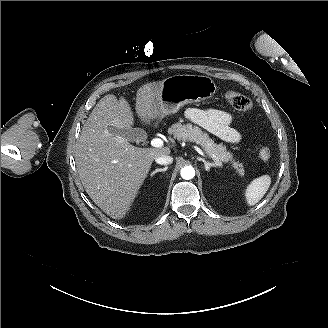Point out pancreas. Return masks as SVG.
<instances>
[{
	"label": "pancreas",
	"mask_w": 328,
	"mask_h": 328,
	"mask_svg": "<svg viewBox=\"0 0 328 328\" xmlns=\"http://www.w3.org/2000/svg\"><path fill=\"white\" fill-rule=\"evenodd\" d=\"M169 134L174 135L178 141H189L199 144L205 153L213 158L216 167L221 168L223 164H229L230 168L238 175L244 177V166L233 154L227 151L222 144L217 145L214 141L197 126L192 124L176 123L169 129Z\"/></svg>",
	"instance_id": "1"
}]
</instances>
